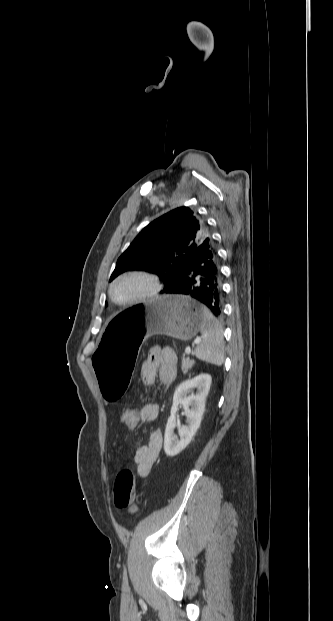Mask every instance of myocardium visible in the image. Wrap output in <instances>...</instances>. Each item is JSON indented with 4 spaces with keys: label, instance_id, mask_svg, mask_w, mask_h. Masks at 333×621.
<instances>
[{
    "label": "myocardium",
    "instance_id": "obj_1",
    "mask_svg": "<svg viewBox=\"0 0 333 621\" xmlns=\"http://www.w3.org/2000/svg\"><path fill=\"white\" fill-rule=\"evenodd\" d=\"M129 277H138V278L145 279L149 283V289L145 293H143L142 295L134 299H130L126 301H119L114 295V292H113L114 286L120 280L129 278ZM161 290H162V285L157 275L147 270L133 269V270L125 271L119 274L117 277H115L111 281L108 291H109V296L111 300L115 304L120 305V306H132V305H136V304L143 303L145 301L153 299L161 292Z\"/></svg>",
    "mask_w": 333,
    "mask_h": 621
}]
</instances>
